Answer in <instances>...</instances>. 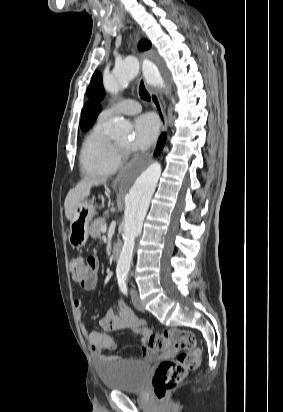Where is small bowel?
Wrapping results in <instances>:
<instances>
[{
  "mask_svg": "<svg viewBox=\"0 0 283 412\" xmlns=\"http://www.w3.org/2000/svg\"><path fill=\"white\" fill-rule=\"evenodd\" d=\"M96 271L79 281L83 289L91 291L97 287L98 277ZM73 304L78 317L83 318L82 301L75 299ZM98 325L103 331L91 330L86 324H82L81 329L91 346L94 358L100 366L106 362L122 360V357L117 355L104 356L102 354L104 350H115L117 348L112 332L122 329H128L140 335L143 343L142 353L132 359L154 357V354L150 353L148 349V339L151 331L146 327V321L135 316L132 309L124 301L120 300L115 307L108 309L106 314L98 320ZM174 354L175 350L172 349L167 353V356H173Z\"/></svg>",
  "mask_w": 283,
  "mask_h": 412,
  "instance_id": "1",
  "label": "small bowel"
}]
</instances>
